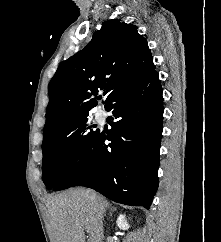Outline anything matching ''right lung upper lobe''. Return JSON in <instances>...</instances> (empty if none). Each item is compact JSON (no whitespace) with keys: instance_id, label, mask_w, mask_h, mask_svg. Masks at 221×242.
Masks as SVG:
<instances>
[{"instance_id":"cb5924a9","label":"right lung upper lobe","mask_w":221,"mask_h":242,"mask_svg":"<svg viewBox=\"0 0 221 242\" xmlns=\"http://www.w3.org/2000/svg\"><path fill=\"white\" fill-rule=\"evenodd\" d=\"M155 69L147 40L137 27L109 20L90 43L63 61L49 84L43 136L88 115L103 90L105 109L122 92L144 80Z\"/></svg>"}]
</instances>
